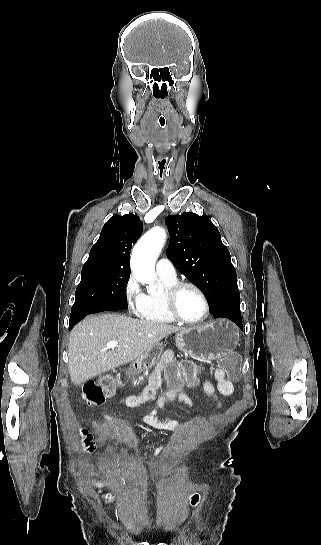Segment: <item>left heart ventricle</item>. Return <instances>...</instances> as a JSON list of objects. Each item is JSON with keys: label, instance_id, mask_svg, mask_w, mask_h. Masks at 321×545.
I'll return each mask as SVG.
<instances>
[{"label": "left heart ventricle", "instance_id": "1", "mask_svg": "<svg viewBox=\"0 0 321 545\" xmlns=\"http://www.w3.org/2000/svg\"><path fill=\"white\" fill-rule=\"evenodd\" d=\"M176 309L180 317L187 321H196L204 313L201 297L191 288H186L179 293L176 299Z\"/></svg>", "mask_w": 321, "mask_h": 545}]
</instances>
